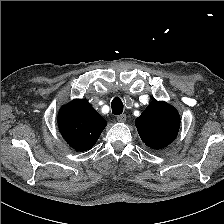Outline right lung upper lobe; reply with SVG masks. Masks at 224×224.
<instances>
[{"label": "right lung upper lobe", "instance_id": "right-lung-upper-lobe-1", "mask_svg": "<svg viewBox=\"0 0 224 224\" xmlns=\"http://www.w3.org/2000/svg\"><path fill=\"white\" fill-rule=\"evenodd\" d=\"M107 122L85 99H74L58 114V127L65 141L77 151L91 149Z\"/></svg>", "mask_w": 224, "mask_h": 224}]
</instances>
